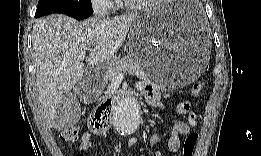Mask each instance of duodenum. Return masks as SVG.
<instances>
[{"mask_svg": "<svg viewBox=\"0 0 261 156\" xmlns=\"http://www.w3.org/2000/svg\"><path fill=\"white\" fill-rule=\"evenodd\" d=\"M129 98H132V95H130ZM104 101H105V103H108L109 105H111V103L113 102V98L107 97L104 99Z\"/></svg>", "mask_w": 261, "mask_h": 156, "instance_id": "1", "label": "duodenum"}]
</instances>
